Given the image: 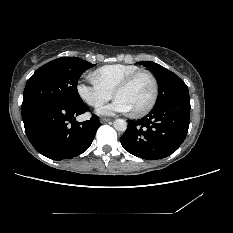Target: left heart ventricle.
I'll list each match as a JSON object with an SVG mask.
<instances>
[{
  "mask_svg": "<svg viewBox=\"0 0 233 233\" xmlns=\"http://www.w3.org/2000/svg\"><path fill=\"white\" fill-rule=\"evenodd\" d=\"M153 92L151 80L141 75L130 86L117 93L116 98L123 99L132 111L144 108L150 101Z\"/></svg>",
  "mask_w": 233,
  "mask_h": 233,
  "instance_id": "b2bd125f",
  "label": "left heart ventricle"
}]
</instances>
